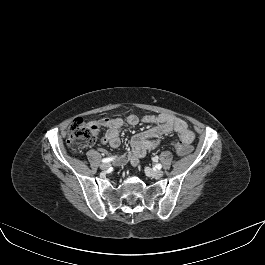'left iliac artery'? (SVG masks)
Here are the masks:
<instances>
[{
  "mask_svg": "<svg viewBox=\"0 0 265 265\" xmlns=\"http://www.w3.org/2000/svg\"><path fill=\"white\" fill-rule=\"evenodd\" d=\"M154 161H158V157H154L153 158ZM155 168H157L158 170H160L162 168L161 164H156Z\"/></svg>",
  "mask_w": 265,
  "mask_h": 265,
  "instance_id": "1",
  "label": "left iliac artery"
}]
</instances>
